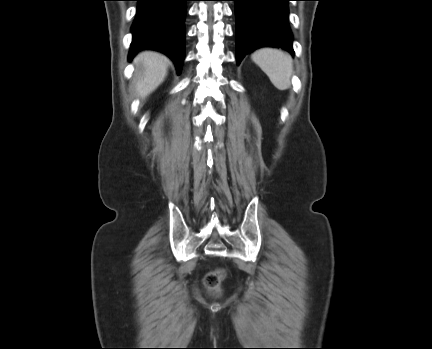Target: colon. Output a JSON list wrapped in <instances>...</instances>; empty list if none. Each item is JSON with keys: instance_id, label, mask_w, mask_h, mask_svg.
Masks as SVG:
<instances>
[{"instance_id": "5ec220e1", "label": "colon", "mask_w": 432, "mask_h": 349, "mask_svg": "<svg viewBox=\"0 0 432 349\" xmlns=\"http://www.w3.org/2000/svg\"><path fill=\"white\" fill-rule=\"evenodd\" d=\"M224 278V271L217 269L205 276V285L209 290L216 291Z\"/></svg>"}]
</instances>
